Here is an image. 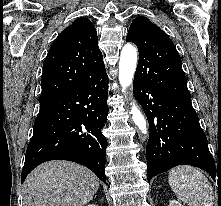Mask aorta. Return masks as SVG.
<instances>
[{"mask_svg":"<svg viewBox=\"0 0 221 206\" xmlns=\"http://www.w3.org/2000/svg\"><path fill=\"white\" fill-rule=\"evenodd\" d=\"M136 65L137 50L132 44H126L121 51L119 61V82L123 92H125L127 87L132 84ZM130 113L132 114V119L135 125L143 134H146V119L134 103L132 104Z\"/></svg>","mask_w":221,"mask_h":206,"instance_id":"obj_1","label":"aorta"}]
</instances>
